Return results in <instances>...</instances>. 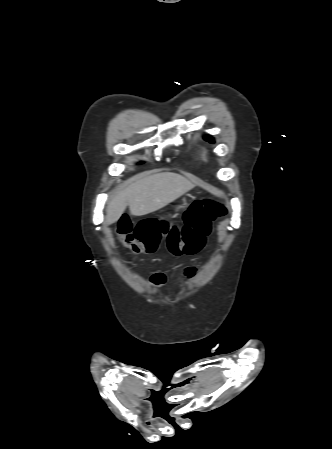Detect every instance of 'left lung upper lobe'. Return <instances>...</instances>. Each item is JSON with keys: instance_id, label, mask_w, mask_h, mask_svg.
Returning <instances> with one entry per match:
<instances>
[{"instance_id": "obj_1", "label": "left lung upper lobe", "mask_w": 332, "mask_h": 449, "mask_svg": "<svg viewBox=\"0 0 332 449\" xmlns=\"http://www.w3.org/2000/svg\"><path fill=\"white\" fill-rule=\"evenodd\" d=\"M204 139L210 143H214V139L212 137L206 136Z\"/></svg>"}]
</instances>
